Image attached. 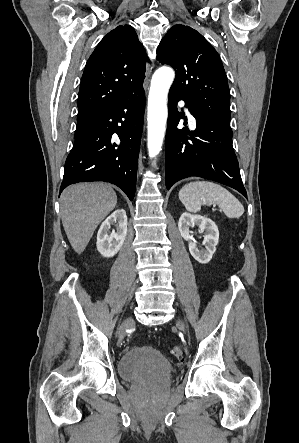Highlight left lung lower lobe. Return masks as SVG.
I'll list each match as a JSON object with an SVG mask.
<instances>
[{"mask_svg":"<svg viewBox=\"0 0 299 443\" xmlns=\"http://www.w3.org/2000/svg\"><path fill=\"white\" fill-rule=\"evenodd\" d=\"M183 100L169 92L168 122L166 132V187L186 177L198 176L230 186L247 197L238 161L232 146V129L229 124L190 104L185 106L196 118V129H178L180 118L187 120L177 110V102ZM187 122H185L186 124Z\"/></svg>","mask_w":299,"mask_h":443,"instance_id":"left-lung-lower-lobe-1","label":"left lung lower lobe"}]
</instances>
